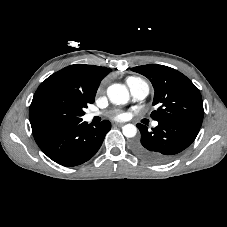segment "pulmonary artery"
<instances>
[{"label":"pulmonary artery","mask_w":227,"mask_h":227,"mask_svg":"<svg viewBox=\"0 0 227 227\" xmlns=\"http://www.w3.org/2000/svg\"><path fill=\"white\" fill-rule=\"evenodd\" d=\"M132 97L136 100H143L149 93V87L147 83L141 79L130 80L127 82ZM97 113L89 112L86 114V119H93ZM154 126L158 125V122L153 123Z\"/></svg>","instance_id":"pulmonary-artery-1"}]
</instances>
